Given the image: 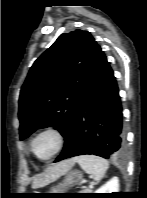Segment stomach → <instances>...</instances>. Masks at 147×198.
<instances>
[{
    "mask_svg": "<svg viewBox=\"0 0 147 198\" xmlns=\"http://www.w3.org/2000/svg\"><path fill=\"white\" fill-rule=\"evenodd\" d=\"M83 174L80 171H71L67 173L61 183L51 188L49 193H64L70 187L79 184L82 181Z\"/></svg>",
    "mask_w": 147,
    "mask_h": 198,
    "instance_id": "1",
    "label": "stomach"
}]
</instances>
